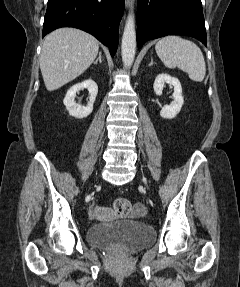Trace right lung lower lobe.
<instances>
[{
    "mask_svg": "<svg viewBox=\"0 0 240 287\" xmlns=\"http://www.w3.org/2000/svg\"><path fill=\"white\" fill-rule=\"evenodd\" d=\"M124 0H48L42 37L60 27H75L95 36L116 53Z\"/></svg>",
    "mask_w": 240,
    "mask_h": 287,
    "instance_id": "98d812e1",
    "label": "right lung lower lobe"
}]
</instances>
